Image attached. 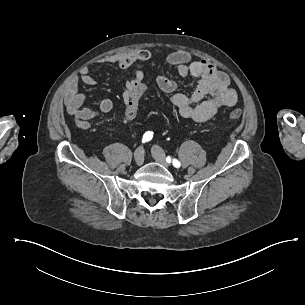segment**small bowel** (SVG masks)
<instances>
[{
	"label": "small bowel",
	"instance_id": "obj_1",
	"mask_svg": "<svg viewBox=\"0 0 305 305\" xmlns=\"http://www.w3.org/2000/svg\"><path fill=\"white\" fill-rule=\"evenodd\" d=\"M151 51L148 49H136L130 52H119L99 58L96 63L115 64L122 69H134L132 79L126 81L123 101L127 103L129 95L137 85L145 84V73L136 63L150 59ZM169 65L176 66L177 73L181 77L191 75L198 79L196 88L190 96L176 93L177 83L165 76L158 75L156 83L165 93L170 94V101L176 107L179 114L186 119L195 122H205L211 119L221 108L231 107L237 102V92L230 85L227 74L218 71L206 59L191 62V55L187 51L177 50L166 57ZM93 68H84L80 75V81L89 87H95L97 82L92 76ZM78 78H73L67 87L65 94L66 111L74 117L77 127L83 130L91 128V121L100 114H107L113 109V102L109 98H103L98 109L83 108L86 96L78 89Z\"/></svg>",
	"mask_w": 305,
	"mask_h": 305
}]
</instances>
